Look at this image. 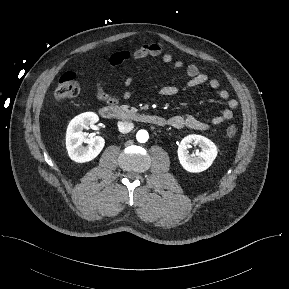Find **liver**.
Instances as JSON below:
<instances>
[{
    "instance_id": "1",
    "label": "liver",
    "mask_w": 289,
    "mask_h": 289,
    "mask_svg": "<svg viewBox=\"0 0 289 289\" xmlns=\"http://www.w3.org/2000/svg\"><path fill=\"white\" fill-rule=\"evenodd\" d=\"M55 119V115L54 114H52V121Z\"/></svg>"
}]
</instances>
